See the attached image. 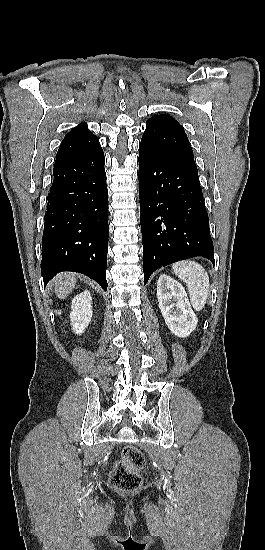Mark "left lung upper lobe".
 I'll return each instance as SVG.
<instances>
[{"label": "left lung upper lobe", "instance_id": "5c2ea615", "mask_svg": "<svg viewBox=\"0 0 265 550\" xmlns=\"http://www.w3.org/2000/svg\"><path fill=\"white\" fill-rule=\"evenodd\" d=\"M141 144L182 163L198 173L187 135L183 127L174 118L160 114L148 119Z\"/></svg>", "mask_w": 265, "mask_h": 550}]
</instances>
